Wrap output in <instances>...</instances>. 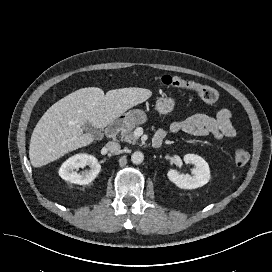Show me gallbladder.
I'll return each mask as SVG.
<instances>
[{
    "mask_svg": "<svg viewBox=\"0 0 272 272\" xmlns=\"http://www.w3.org/2000/svg\"><path fill=\"white\" fill-rule=\"evenodd\" d=\"M83 129L86 132L91 133L92 135H94L96 137L101 135V132L99 130H97L95 127H93L90 123H86L83 126Z\"/></svg>",
    "mask_w": 272,
    "mask_h": 272,
    "instance_id": "obj_1",
    "label": "gallbladder"
}]
</instances>
